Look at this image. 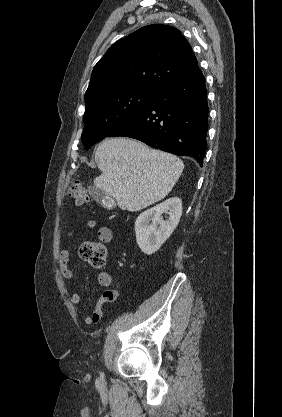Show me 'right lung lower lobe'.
<instances>
[{
    "label": "right lung lower lobe",
    "mask_w": 282,
    "mask_h": 417,
    "mask_svg": "<svg viewBox=\"0 0 282 417\" xmlns=\"http://www.w3.org/2000/svg\"><path fill=\"white\" fill-rule=\"evenodd\" d=\"M208 104L205 78L198 68L160 87L148 104L107 137L124 136L202 166L206 153Z\"/></svg>",
    "instance_id": "right-lung-lower-lobe-1"
}]
</instances>
